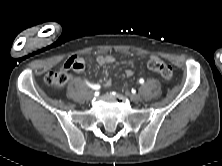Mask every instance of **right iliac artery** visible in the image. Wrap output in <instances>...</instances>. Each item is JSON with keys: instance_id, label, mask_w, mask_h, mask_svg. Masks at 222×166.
I'll list each match as a JSON object with an SVG mask.
<instances>
[{"instance_id": "1", "label": "right iliac artery", "mask_w": 222, "mask_h": 166, "mask_svg": "<svg viewBox=\"0 0 222 166\" xmlns=\"http://www.w3.org/2000/svg\"><path fill=\"white\" fill-rule=\"evenodd\" d=\"M86 84H87L90 88H92V89H94V90H98V89L100 88V85L90 84V83L87 82V81H86Z\"/></svg>"}]
</instances>
